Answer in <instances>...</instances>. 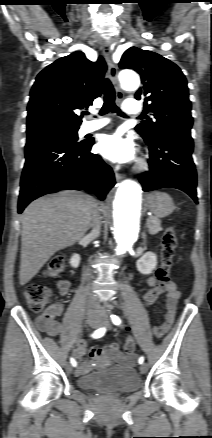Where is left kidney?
<instances>
[{
  "label": "left kidney",
  "instance_id": "1",
  "mask_svg": "<svg viewBox=\"0 0 212 438\" xmlns=\"http://www.w3.org/2000/svg\"><path fill=\"white\" fill-rule=\"evenodd\" d=\"M157 266V256L153 252L145 253L136 262L137 270L144 275L151 274Z\"/></svg>",
  "mask_w": 212,
  "mask_h": 438
}]
</instances>
